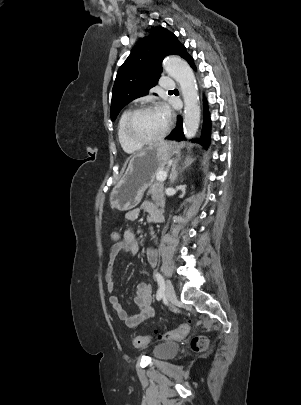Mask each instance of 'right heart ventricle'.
Here are the masks:
<instances>
[{"label": "right heart ventricle", "instance_id": "1", "mask_svg": "<svg viewBox=\"0 0 301 405\" xmlns=\"http://www.w3.org/2000/svg\"><path fill=\"white\" fill-rule=\"evenodd\" d=\"M128 114H129V111H125L121 114V116L119 118L118 125H117V137H118V141H119L122 149L128 154H132V153L139 151L141 149V146H137V145L131 143L125 136L124 124H125V120H126V117Z\"/></svg>", "mask_w": 301, "mask_h": 405}]
</instances>
